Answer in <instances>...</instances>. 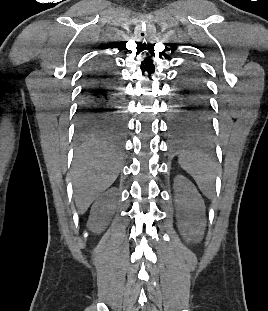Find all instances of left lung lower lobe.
<instances>
[{"label":"left lung lower lobe","mask_w":268,"mask_h":311,"mask_svg":"<svg viewBox=\"0 0 268 311\" xmlns=\"http://www.w3.org/2000/svg\"><path fill=\"white\" fill-rule=\"evenodd\" d=\"M207 87L200 69L187 64L178 75L169 110V141H213Z\"/></svg>","instance_id":"0a47b994"}]
</instances>
